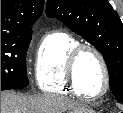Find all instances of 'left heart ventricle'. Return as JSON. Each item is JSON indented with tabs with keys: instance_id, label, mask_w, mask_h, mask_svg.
I'll list each match as a JSON object with an SVG mask.
<instances>
[{
	"instance_id": "left-heart-ventricle-1",
	"label": "left heart ventricle",
	"mask_w": 123,
	"mask_h": 113,
	"mask_svg": "<svg viewBox=\"0 0 123 113\" xmlns=\"http://www.w3.org/2000/svg\"><path fill=\"white\" fill-rule=\"evenodd\" d=\"M80 90L88 94L100 92L104 85L103 71L97 57L85 52L79 59L76 68Z\"/></svg>"
}]
</instances>
